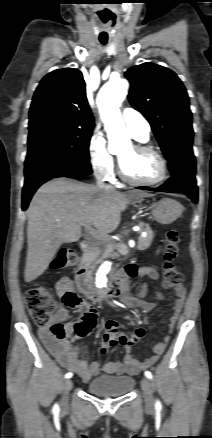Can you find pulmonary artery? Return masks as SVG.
I'll return each mask as SVG.
<instances>
[{"mask_svg": "<svg viewBox=\"0 0 212 438\" xmlns=\"http://www.w3.org/2000/svg\"><path fill=\"white\" fill-rule=\"evenodd\" d=\"M122 117L126 127L135 139L145 141L149 138L150 125L139 111L126 108L123 110Z\"/></svg>", "mask_w": 212, "mask_h": 438, "instance_id": "e3ab8cb5", "label": "pulmonary artery"}]
</instances>
